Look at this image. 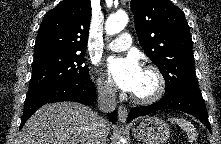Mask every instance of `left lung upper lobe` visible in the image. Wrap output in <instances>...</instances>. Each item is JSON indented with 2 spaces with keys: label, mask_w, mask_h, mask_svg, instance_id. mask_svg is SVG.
Here are the masks:
<instances>
[{
  "label": "left lung upper lobe",
  "mask_w": 221,
  "mask_h": 144,
  "mask_svg": "<svg viewBox=\"0 0 221 144\" xmlns=\"http://www.w3.org/2000/svg\"><path fill=\"white\" fill-rule=\"evenodd\" d=\"M131 10L140 45L165 79V95H201L190 29L183 11L170 0H131Z\"/></svg>",
  "instance_id": "1"
}]
</instances>
